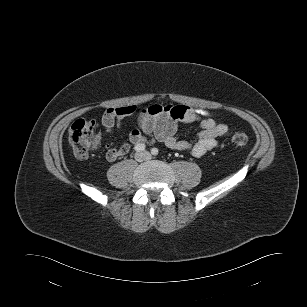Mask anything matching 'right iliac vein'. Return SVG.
Wrapping results in <instances>:
<instances>
[{
	"label": "right iliac vein",
	"mask_w": 307,
	"mask_h": 307,
	"mask_svg": "<svg viewBox=\"0 0 307 307\" xmlns=\"http://www.w3.org/2000/svg\"><path fill=\"white\" fill-rule=\"evenodd\" d=\"M146 158V156L144 155V153H136L135 154V160L138 162H142L144 161Z\"/></svg>",
	"instance_id": "obj_1"
}]
</instances>
